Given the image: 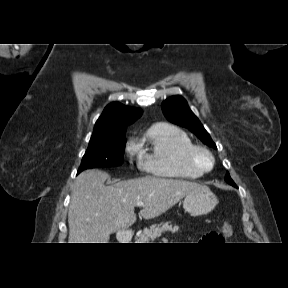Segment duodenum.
<instances>
[{
  "label": "duodenum",
  "mask_w": 288,
  "mask_h": 288,
  "mask_svg": "<svg viewBox=\"0 0 288 288\" xmlns=\"http://www.w3.org/2000/svg\"><path fill=\"white\" fill-rule=\"evenodd\" d=\"M132 240V234L126 231L119 233V241L122 243H128Z\"/></svg>",
  "instance_id": "duodenum-1"
}]
</instances>
